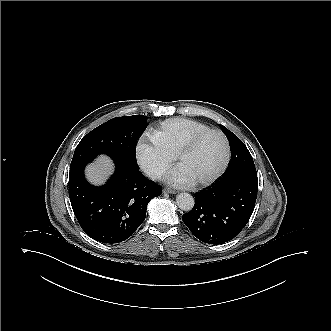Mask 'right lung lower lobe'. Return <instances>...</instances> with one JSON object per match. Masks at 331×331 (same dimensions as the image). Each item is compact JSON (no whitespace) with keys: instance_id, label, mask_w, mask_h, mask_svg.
Wrapping results in <instances>:
<instances>
[{"instance_id":"98d812e1","label":"right lung lower lobe","mask_w":331,"mask_h":331,"mask_svg":"<svg viewBox=\"0 0 331 331\" xmlns=\"http://www.w3.org/2000/svg\"><path fill=\"white\" fill-rule=\"evenodd\" d=\"M87 163L70 166L69 197L75 216L94 240L122 242L142 224L148 202L159 196L162 188L119 162H115V173L108 182L95 187L84 177Z\"/></svg>"}]
</instances>
